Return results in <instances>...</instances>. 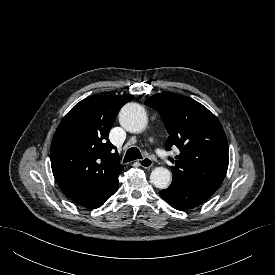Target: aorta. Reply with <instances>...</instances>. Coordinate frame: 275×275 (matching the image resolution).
Here are the masks:
<instances>
[{
	"mask_svg": "<svg viewBox=\"0 0 275 275\" xmlns=\"http://www.w3.org/2000/svg\"><path fill=\"white\" fill-rule=\"evenodd\" d=\"M119 122L125 130L138 133L147 125V114L140 104L128 103L120 110ZM150 181L156 188L166 189L171 183V172L167 168L157 167L151 172Z\"/></svg>",
	"mask_w": 275,
	"mask_h": 275,
	"instance_id": "aorta-1",
	"label": "aorta"
}]
</instances>
